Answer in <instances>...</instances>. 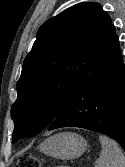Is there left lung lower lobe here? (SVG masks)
Segmentation results:
<instances>
[{
    "label": "left lung lower lobe",
    "mask_w": 125,
    "mask_h": 167,
    "mask_svg": "<svg viewBox=\"0 0 125 167\" xmlns=\"http://www.w3.org/2000/svg\"><path fill=\"white\" fill-rule=\"evenodd\" d=\"M62 127L103 133L125 150V64L114 26L102 40L87 76L48 130Z\"/></svg>",
    "instance_id": "1"
}]
</instances>
